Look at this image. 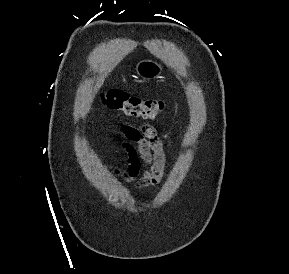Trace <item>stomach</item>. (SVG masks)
<instances>
[{
  "label": "stomach",
  "mask_w": 289,
  "mask_h": 274,
  "mask_svg": "<svg viewBox=\"0 0 289 274\" xmlns=\"http://www.w3.org/2000/svg\"><path fill=\"white\" fill-rule=\"evenodd\" d=\"M136 73L144 80H153L159 78L163 72V67L156 61L144 59L137 63Z\"/></svg>",
  "instance_id": "obj_1"
}]
</instances>
